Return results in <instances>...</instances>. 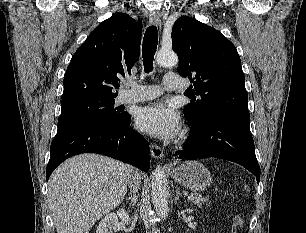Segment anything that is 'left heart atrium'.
<instances>
[{"label": "left heart atrium", "instance_id": "left-heart-atrium-1", "mask_svg": "<svg viewBox=\"0 0 306 233\" xmlns=\"http://www.w3.org/2000/svg\"><path fill=\"white\" fill-rule=\"evenodd\" d=\"M137 128L160 138H172L180 130V119L168 104L157 102L142 108L136 117Z\"/></svg>", "mask_w": 306, "mask_h": 233}]
</instances>
